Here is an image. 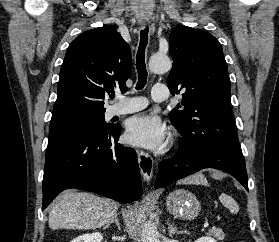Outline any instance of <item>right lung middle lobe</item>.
Here are the masks:
<instances>
[{"label": "right lung middle lobe", "instance_id": "dd1d6c3e", "mask_svg": "<svg viewBox=\"0 0 279 242\" xmlns=\"http://www.w3.org/2000/svg\"><path fill=\"white\" fill-rule=\"evenodd\" d=\"M104 112L72 111L52 115L48 145L80 135L93 136L108 130Z\"/></svg>", "mask_w": 279, "mask_h": 242}]
</instances>
